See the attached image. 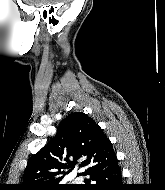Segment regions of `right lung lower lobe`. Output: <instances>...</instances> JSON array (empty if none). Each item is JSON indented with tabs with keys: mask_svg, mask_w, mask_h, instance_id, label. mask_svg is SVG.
Listing matches in <instances>:
<instances>
[{
	"mask_svg": "<svg viewBox=\"0 0 165 190\" xmlns=\"http://www.w3.org/2000/svg\"><path fill=\"white\" fill-rule=\"evenodd\" d=\"M82 175L88 177L82 190H127L126 185L122 184L121 171L115 154L92 166Z\"/></svg>",
	"mask_w": 165,
	"mask_h": 190,
	"instance_id": "98d812e1",
	"label": "right lung lower lobe"
}]
</instances>
